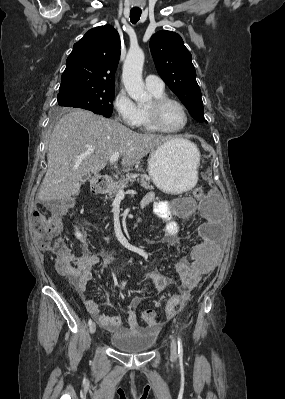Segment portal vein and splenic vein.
Here are the masks:
<instances>
[{
  "label": "portal vein and splenic vein",
  "mask_w": 285,
  "mask_h": 399,
  "mask_svg": "<svg viewBox=\"0 0 285 399\" xmlns=\"http://www.w3.org/2000/svg\"><path fill=\"white\" fill-rule=\"evenodd\" d=\"M118 158H119V153H114L109 160L110 164L115 163L118 160ZM124 188H126V186H123V188L119 190L120 194H124Z\"/></svg>",
  "instance_id": "18ae733b"
}]
</instances>
